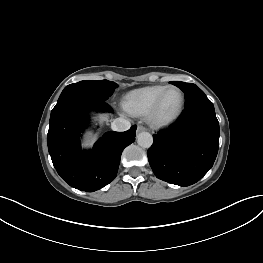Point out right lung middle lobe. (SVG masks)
Here are the masks:
<instances>
[{"instance_id":"1","label":"right lung middle lobe","mask_w":263,"mask_h":263,"mask_svg":"<svg viewBox=\"0 0 263 263\" xmlns=\"http://www.w3.org/2000/svg\"><path fill=\"white\" fill-rule=\"evenodd\" d=\"M117 87L118 85L115 82L108 80L80 81L66 86L57 103L73 97L94 98L106 101Z\"/></svg>"}]
</instances>
